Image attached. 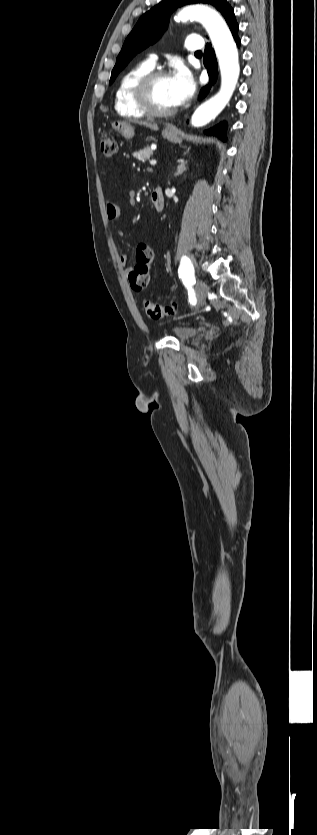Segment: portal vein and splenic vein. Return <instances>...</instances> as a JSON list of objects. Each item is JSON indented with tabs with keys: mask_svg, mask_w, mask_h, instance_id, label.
Here are the masks:
<instances>
[{
	"mask_svg": "<svg viewBox=\"0 0 317 835\" xmlns=\"http://www.w3.org/2000/svg\"><path fill=\"white\" fill-rule=\"evenodd\" d=\"M155 148H156V146H152V149H155ZM156 163H157V162H156L155 160H151V161H150V165H151V166H155V165H156Z\"/></svg>",
	"mask_w": 317,
	"mask_h": 835,
	"instance_id": "1",
	"label": "portal vein and splenic vein"
}]
</instances>
